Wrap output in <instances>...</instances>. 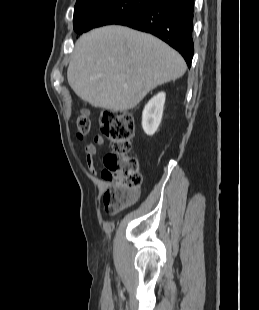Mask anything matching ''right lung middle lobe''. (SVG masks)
<instances>
[{"instance_id":"dd1d6c3e","label":"right lung middle lobe","mask_w":259,"mask_h":310,"mask_svg":"<svg viewBox=\"0 0 259 310\" xmlns=\"http://www.w3.org/2000/svg\"><path fill=\"white\" fill-rule=\"evenodd\" d=\"M156 0H103L74 9V30L78 34L109 24L152 5Z\"/></svg>"}]
</instances>
